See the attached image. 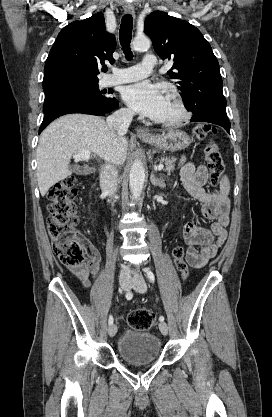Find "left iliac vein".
Wrapping results in <instances>:
<instances>
[{
	"instance_id": "left-iliac-vein-1",
	"label": "left iliac vein",
	"mask_w": 272,
	"mask_h": 417,
	"mask_svg": "<svg viewBox=\"0 0 272 417\" xmlns=\"http://www.w3.org/2000/svg\"><path fill=\"white\" fill-rule=\"evenodd\" d=\"M132 288L139 292V293H144L147 290V285L146 282L144 280V278L141 275H136L132 281ZM159 329L161 331V333L163 335H167L168 333V326L166 324V322L161 321L159 323Z\"/></svg>"
}]
</instances>
